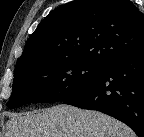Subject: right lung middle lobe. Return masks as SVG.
<instances>
[{
  "label": "right lung middle lobe",
  "mask_w": 144,
  "mask_h": 137,
  "mask_svg": "<svg viewBox=\"0 0 144 137\" xmlns=\"http://www.w3.org/2000/svg\"><path fill=\"white\" fill-rule=\"evenodd\" d=\"M102 65L82 60L63 59L15 67L13 91L7 106L64 101L97 80Z\"/></svg>",
  "instance_id": "obj_1"
}]
</instances>
